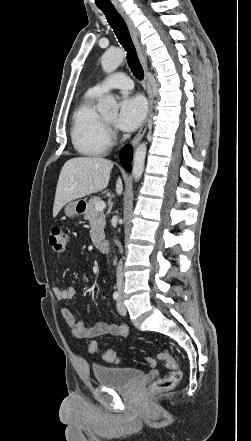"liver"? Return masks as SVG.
I'll list each match as a JSON object with an SVG mask.
<instances>
[{
	"label": "liver",
	"instance_id": "liver-1",
	"mask_svg": "<svg viewBox=\"0 0 251 441\" xmlns=\"http://www.w3.org/2000/svg\"><path fill=\"white\" fill-rule=\"evenodd\" d=\"M112 168V161L102 157H76L66 161L56 187L53 217H56L68 202L105 189ZM122 190V181L118 178L117 194L120 195Z\"/></svg>",
	"mask_w": 251,
	"mask_h": 441
}]
</instances>
